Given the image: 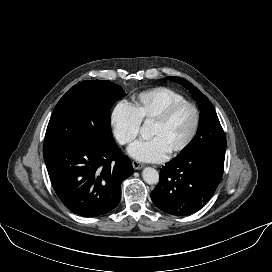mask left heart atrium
<instances>
[{
  "mask_svg": "<svg viewBox=\"0 0 272 272\" xmlns=\"http://www.w3.org/2000/svg\"><path fill=\"white\" fill-rule=\"evenodd\" d=\"M128 153L138 161L160 162L166 157L168 151L158 137H151L133 143L129 147Z\"/></svg>",
  "mask_w": 272,
  "mask_h": 272,
  "instance_id": "obj_1",
  "label": "left heart atrium"
}]
</instances>
